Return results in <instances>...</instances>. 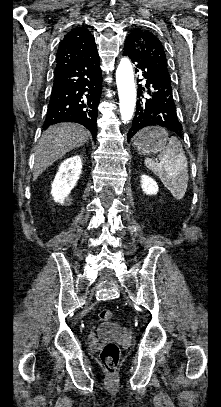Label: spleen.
<instances>
[{"mask_svg":"<svg viewBox=\"0 0 221 407\" xmlns=\"http://www.w3.org/2000/svg\"><path fill=\"white\" fill-rule=\"evenodd\" d=\"M168 145L158 155L159 161L146 158L145 165L156 174L173 197L180 200L188 186V163L181 142L176 137L168 138Z\"/></svg>","mask_w":221,"mask_h":407,"instance_id":"3e777b00","label":"spleen"}]
</instances>
